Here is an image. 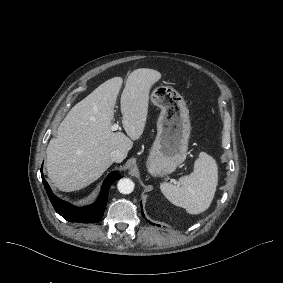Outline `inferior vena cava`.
<instances>
[{
  "label": "inferior vena cava",
  "instance_id": "1",
  "mask_svg": "<svg viewBox=\"0 0 283 283\" xmlns=\"http://www.w3.org/2000/svg\"><path fill=\"white\" fill-rule=\"evenodd\" d=\"M113 162L121 163L125 158L124 155L119 150H113L110 154Z\"/></svg>",
  "mask_w": 283,
  "mask_h": 283
}]
</instances>
